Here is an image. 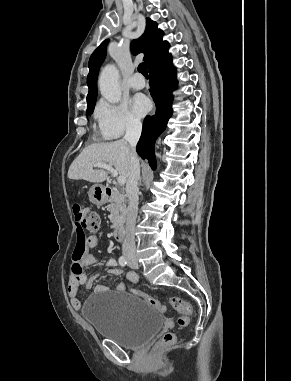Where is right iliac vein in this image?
Wrapping results in <instances>:
<instances>
[{
	"label": "right iliac vein",
	"mask_w": 291,
	"mask_h": 381,
	"mask_svg": "<svg viewBox=\"0 0 291 381\" xmlns=\"http://www.w3.org/2000/svg\"><path fill=\"white\" fill-rule=\"evenodd\" d=\"M127 258L129 259V260H135V256L134 255H127Z\"/></svg>",
	"instance_id": "63e3f726"
}]
</instances>
